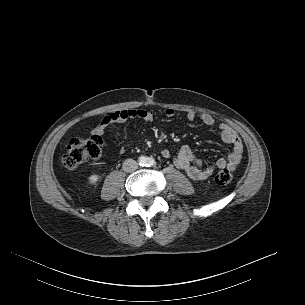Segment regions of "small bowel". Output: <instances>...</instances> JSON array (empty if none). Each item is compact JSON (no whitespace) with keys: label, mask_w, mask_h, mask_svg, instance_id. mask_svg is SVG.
<instances>
[{"label":"small bowel","mask_w":305,"mask_h":305,"mask_svg":"<svg viewBox=\"0 0 305 305\" xmlns=\"http://www.w3.org/2000/svg\"><path fill=\"white\" fill-rule=\"evenodd\" d=\"M166 117H173L175 111L173 109L165 110ZM137 118L146 123H150L154 119V113L148 109H122L107 114L99 124L92 130L93 134L101 136L105 133L107 128L114 123H122L129 119ZM186 119L194 121L198 119L206 126H213L215 119L207 113H196L188 111ZM219 133L222 141L231 146L232 151L229 157L218 158L211 163H203L198 159L192 149L188 146L182 147L178 153L173 157L175 166L184 170L187 175L195 181H203L212 176L217 170L228 168L234 170L243 158L244 146L238 134L226 123L219 125ZM120 154L124 153V149L119 150ZM161 155L164 158H171L172 154L169 149H162Z\"/></svg>","instance_id":"c3829d8e"}]
</instances>
